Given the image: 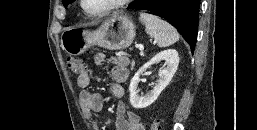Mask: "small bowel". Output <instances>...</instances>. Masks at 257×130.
I'll list each match as a JSON object with an SVG mask.
<instances>
[{
  "label": "small bowel",
  "instance_id": "c3829d8e",
  "mask_svg": "<svg viewBox=\"0 0 257 130\" xmlns=\"http://www.w3.org/2000/svg\"><path fill=\"white\" fill-rule=\"evenodd\" d=\"M102 59V56H98L96 58L97 63H101ZM112 61L114 66L111 70L112 81L109 89L115 98H122L124 96L123 84L129 76V60L124 56H118ZM90 81L91 77L88 70L79 74L77 78V85L82 89L79 95L80 103L85 112L91 117L94 130H102L99 120L95 115L103 108V97L100 93L87 90ZM115 126L116 130H145L139 115L128 111L123 102H120L117 106Z\"/></svg>",
  "mask_w": 257,
  "mask_h": 130
}]
</instances>
